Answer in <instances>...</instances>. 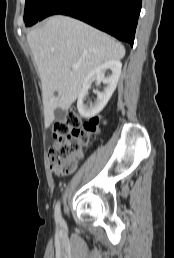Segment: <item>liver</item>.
I'll use <instances>...</instances> for the list:
<instances>
[{"label":"liver","mask_w":174,"mask_h":258,"mask_svg":"<svg viewBox=\"0 0 174 258\" xmlns=\"http://www.w3.org/2000/svg\"><path fill=\"white\" fill-rule=\"evenodd\" d=\"M27 41L42 83L47 126L55 118V109L67 110L76 100L93 69L125 55L124 46L109 35L62 15L49 17L28 32ZM74 65L79 67L73 69Z\"/></svg>","instance_id":"1"}]
</instances>
